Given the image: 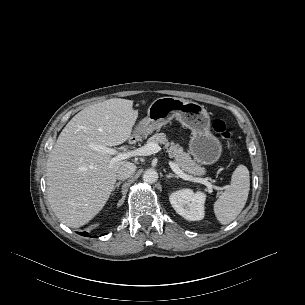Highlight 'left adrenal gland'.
<instances>
[{
	"mask_svg": "<svg viewBox=\"0 0 305 305\" xmlns=\"http://www.w3.org/2000/svg\"><path fill=\"white\" fill-rule=\"evenodd\" d=\"M170 178H177L178 179V176L172 174V173H169L166 175V179H170Z\"/></svg>",
	"mask_w": 305,
	"mask_h": 305,
	"instance_id": "left-adrenal-gland-1",
	"label": "left adrenal gland"
}]
</instances>
